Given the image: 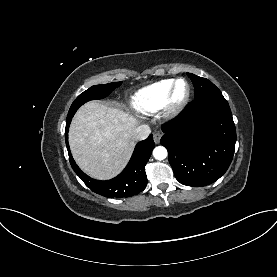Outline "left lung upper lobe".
I'll use <instances>...</instances> for the list:
<instances>
[{
	"mask_svg": "<svg viewBox=\"0 0 277 277\" xmlns=\"http://www.w3.org/2000/svg\"><path fill=\"white\" fill-rule=\"evenodd\" d=\"M187 75L193 82L195 88V99L208 94L221 93L220 90L208 79L196 76L192 73H187Z\"/></svg>",
	"mask_w": 277,
	"mask_h": 277,
	"instance_id": "1",
	"label": "left lung upper lobe"
}]
</instances>
